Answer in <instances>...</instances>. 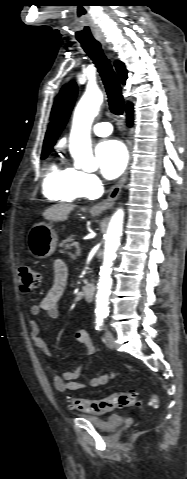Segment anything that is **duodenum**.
<instances>
[{
  "label": "duodenum",
  "mask_w": 187,
  "mask_h": 479,
  "mask_svg": "<svg viewBox=\"0 0 187 479\" xmlns=\"http://www.w3.org/2000/svg\"><path fill=\"white\" fill-rule=\"evenodd\" d=\"M81 293L84 300L90 302L95 296V286L90 283H85L81 288Z\"/></svg>",
  "instance_id": "obj_1"
}]
</instances>
